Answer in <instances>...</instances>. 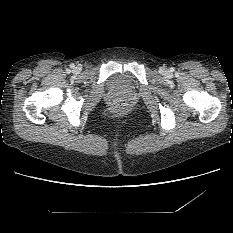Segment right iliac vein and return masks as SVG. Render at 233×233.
<instances>
[{
    "instance_id": "obj_1",
    "label": "right iliac vein",
    "mask_w": 233,
    "mask_h": 233,
    "mask_svg": "<svg viewBox=\"0 0 233 233\" xmlns=\"http://www.w3.org/2000/svg\"><path fill=\"white\" fill-rule=\"evenodd\" d=\"M76 70H77V71H79V70H80V68H79V67H77V68H76Z\"/></svg>"
}]
</instances>
